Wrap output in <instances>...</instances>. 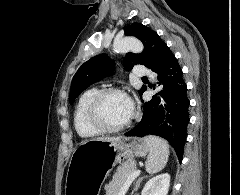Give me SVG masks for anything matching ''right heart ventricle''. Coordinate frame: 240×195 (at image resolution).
<instances>
[{
	"label": "right heart ventricle",
	"instance_id": "1",
	"mask_svg": "<svg viewBox=\"0 0 240 195\" xmlns=\"http://www.w3.org/2000/svg\"><path fill=\"white\" fill-rule=\"evenodd\" d=\"M99 92L98 88L86 90L79 98L74 114V123L78 134L83 138H93L102 134L88 120V106L93 97Z\"/></svg>",
	"mask_w": 240,
	"mask_h": 195
}]
</instances>
